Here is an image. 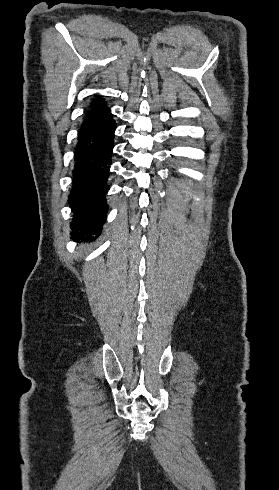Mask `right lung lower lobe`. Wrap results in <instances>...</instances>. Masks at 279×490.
<instances>
[{"instance_id":"right-lung-lower-lobe-1","label":"right lung lower lobe","mask_w":279,"mask_h":490,"mask_svg":"<svg viewBox=\"0 0 279 490\" xmlns=\"http://www.w3.org/2000/svg\"><path fill=\"white\" fill-rule=\"evenodd\" d=\"M115 121L100 130L78 137L75 169L68 204L74 213L71 238L95 240L105 223L108 204L107 178L114 147Z\"/></svg>"}]
</instances>
